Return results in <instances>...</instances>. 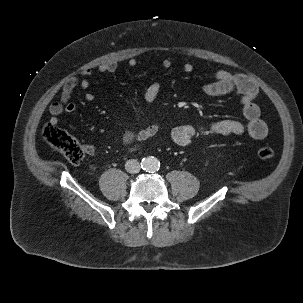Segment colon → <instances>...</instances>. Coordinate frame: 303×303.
<instances>
[{
    "mask_svg": "<svg viewBox=\"0 0 303 303\" xmlns=\"http://www.w3.org/2000/svg\"><path fill=\"white\" fill-rule=\"evenodd\" d=\"M45 141L54 149L59 151L69 162L78 165L85 158V151L75 136L55 124L48 123L43 129ZM257 155L262 160H269L274 156L271 147L263 146L257 151Z\"/></svg>",
    "mask_w": 303,
    "mask_h": 303,
    "instance_id": "obj_1",
    "label": "colon"
}]
</instances>
